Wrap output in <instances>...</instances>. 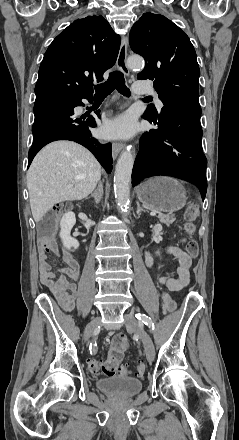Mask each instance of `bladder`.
<instances>
[{
    "instance_id": "bladder-1",
    "label": "bladder",
    "mask_w": 239,
    "mask_h": 440,
    "mask_svg": "<svg viewBox=\"0 0 239 440\" xmlns=\"http://www.w3.org/2000/svg\"><path fill=\"white\" fill-rule=\"evenodd\" d=\"M96 387L103 393L131 397L142 390V381L130 376L105 377L96 381Z\"/></svg>"
}]
</instances>
